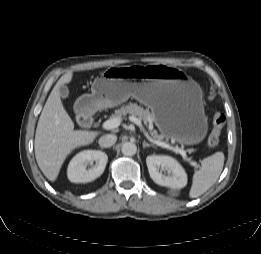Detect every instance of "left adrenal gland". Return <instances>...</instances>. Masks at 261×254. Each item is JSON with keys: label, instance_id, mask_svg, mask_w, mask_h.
<instances>
[{"label": "left adrenal gland", "instance_id": "left-adrenal-gland-1", "mask_svg": "<svg viewBox=\"0 0 261 254\" xmlns=\"http://www.w3.org/2000/svg\"><path fill=\"white\" fill-rule=\"evenodd\" d=\"M143 148H146V147H155L153 144H149L147 143L146 141H143Z\"/></svg>", "mask_w": 261, "mask_h": 254}]
</instances>
